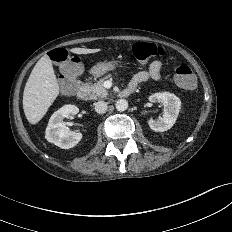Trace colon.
Wrapping results in <instances>:
<instances>
[{
    "label": "colon",
    "mask_w": 232,
    "mask_h": 232,
    "mask_svg": "<svg viewBox=\"0 0 232 232\" xmlns=\"http://www.w3.org/2000/svg\"><path fill=\"white\" fill-rule=\"evenodd\" d=\"M127 50L140 62H146L164 53L161 46L147 42L134 43L129 45ZM49 57L55 63L61 64V89L65 92H72L77 85L80 61L72 58L69 52L63 48L53 49L50 51ZM174 81L178 87L185 90L194 89L197 83L195 74L187 65H180L175 69Z\"/></svg>",
    "instance_id": "obj_1"
}]
</instances>
